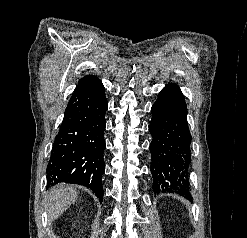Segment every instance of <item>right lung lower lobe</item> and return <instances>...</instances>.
Segmentation results:
<instances>
[{"mask_svg": "<svg viewBox=\"0 0 247 238\" xmlns=\"http://www.w3.org/2000/svg\"><path fill=\"white\" fill-rule=\"evenodd\" d=\"M107 107L102 82L93 75L81 78L56 136L48 165V186L62 182L83 185L102 202Z\"/></svg>", "mask_w": 247, "mask_h": 238, "instance_id": "right-lung-lower-lobe-1", "label": "right lung lower lobe"}]
</instances>
